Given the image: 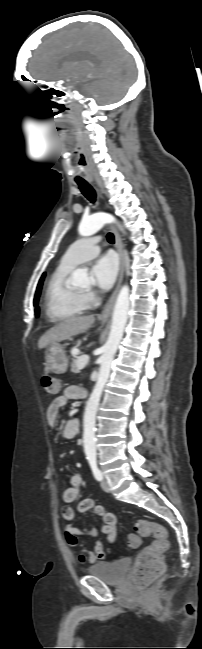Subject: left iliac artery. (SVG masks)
<instances>
[{
	"label": "left iliac artery",
	"instance_id": "left-iliac-artery-1",
	"mask_svg": "<svg viewBox=\"0 0 202 649\" xmlns=\"http://www.w3.org/2000/svg\"><path fill=\"white\" fill-rule=\"evenodd\" d=\"M88 461L91 467V470L93 472L94 477L98 480L101 481L103 479L102 472L97 466V460L95 455H89L88 456Z\"/></svg>",
	"mask_w": 202,
	"mask_h": 649
}]
</instances>
